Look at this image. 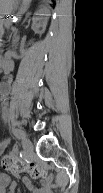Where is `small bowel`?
Segmentation results:
<instances>
[{
  "label": "small bowel",
  "instance_id": "obj_1",
  "mask_svg": "<svg viewBox=\"0 0 103 193\" xmlns=\"http://www.w3.org/2000/svg\"><path fill=\"white\" fill-rule=\"evenodd\" d=\"M5 147V142L0 146L1 149ZM22 182L26 193H55V183L52 179L46 178L36 186L28 177H23ZM0 186L3 193H16L17 185L13 182L9 175L1 174Z\"/></svg>",
  "mask_w": 103,
  "mask_h": 193
}]
</instances>
